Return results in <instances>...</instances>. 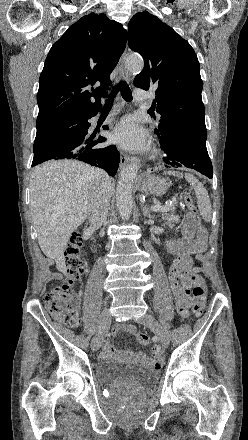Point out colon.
Returning a JSON list of instances; mask_svg holds the SVG:
<instances>
[{
    "label": "colon",
    "mask_w": 248,
    "mask_h": 440,
    "mask_svg": "<svg viewBox=\"0 0 248 440\" xmlns=\"http://www.w3.org/2000/svg\"><path fill=\"white\" fill-rule=\"evenodd\" d=\"M184 198L188 209V220L195 224L198 228L200 220L195 206L193 196L189 190L184 192ZM205 248L202 236L196 238L193 242L192 249L200 252ZM66 280L52 287L44 298L47 311L55 320L65 324L68 327H76L79 325L80 318L78 314L79 299L73 292V284L79 280L84 272L82 258V237L78 231H74L68 242L66 251ZM194 304L192 313L195 317H200L203 313L206 302V283L204 279L194 274L192 276ZM136 339L141 345L149 344V336L144 332H137Z\"/></svg>",
    "instance_id": "1"
}]
</instances>
